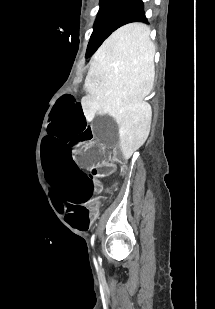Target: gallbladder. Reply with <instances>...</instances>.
<instances>
[{"instance_id":"gallbladder-1","label":"gallbladder","mask_w":215,"mask_h":309,"mask_svg":"<svg viewBox=\"0 0 215 309\" xmlns=\"http://www.w3.org/2000/svg\"><path fill=\"white\" fill-rule=\"evenodd\" d=\"M91 130L94 136H98L100 144H104L105 148L117 147L120 135L118 129H116L115 122L111 120L109 115H98Z\"/></svg>"}]
</instances>
